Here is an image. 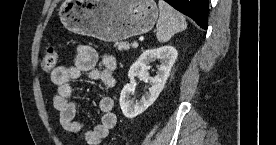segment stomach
<instances>
[{
    "label": "stomach",
    "instance_id": "1",
    "mask_svg": "<svg viewBox=\"0 0 276 145\" xmlns=\"http://www.w3.org/2000/svg\"><path fill=\"white\" fill-rule=\"evenodd\" d=\"M59 16L73 33L114 42L150 31L158 8L154 0H65Z\"/></svg>",
    "mask_w": 276,
    "mask_h": 145
}]
</instances>
